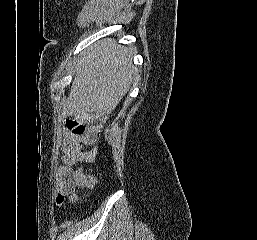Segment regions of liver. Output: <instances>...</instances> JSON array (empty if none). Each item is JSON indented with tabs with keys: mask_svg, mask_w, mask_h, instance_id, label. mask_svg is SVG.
<instances>
[{
	"mask_svg": "<svg viewBox=\"0 0 257 240\" xmlns=\"http://www.w3.org/2000/svg\"><path fill=\"white\" fill-rule=\"evenodd\" d=\"M131 53L111 39L90 46L76 66L63 115L82 122L109 115L138 77Z\"/></svg>",
	"mask_w": 257,
	"mask_h": 240,
	"instance_id": "obj_1",
	"label": "liver"
}]
</instances>
